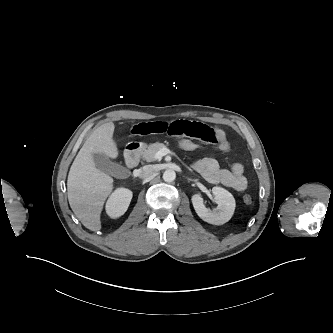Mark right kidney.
<instances>
[{"mask_svg":"<svg viewBox=\"0 0 333 333\" xmlns=\"http://www.w3.org/2000/svg\"><path fill=\"white\" fill-rule=\"evenodd\" d=\"M132 199V192L126 188L117 189L106 203V212L111 218L122 216L128 209Z\"/></svg>","mask_w":333,"mask_h":333,"instance_id":"ca27d5eb","label":"right kidney"}]
</instances>
